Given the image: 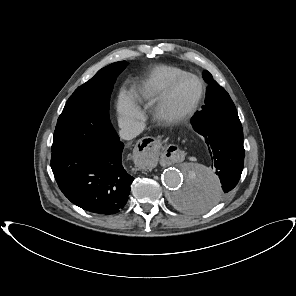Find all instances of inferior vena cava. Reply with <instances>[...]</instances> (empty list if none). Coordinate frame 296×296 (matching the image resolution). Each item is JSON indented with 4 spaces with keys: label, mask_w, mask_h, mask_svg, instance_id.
<instances>
[{
    "label": "inferior vena cava",
    "mask_w": 296,
    "mask_h": 296,
    "mask_svg": "<svg viewBox=\"0 0 296 296\" xmlns=\"http://www.w3.org/2000/svg\"><path fill=\"white\" fill-rule=\"evenodd\" d=\"M144 130V124L141 122H131L123 126L120 131V137L125 140H131L138 136Z\"/></svg>",
    "instance_id": "602c4592"
}]
</instances>
